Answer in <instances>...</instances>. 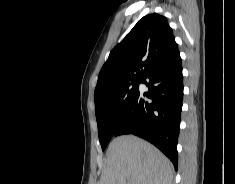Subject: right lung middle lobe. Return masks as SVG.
<instances>
[{
  "label": "right lung middle lobe",
  "instance_id": "1",
  "mask_svg": "<svg viewBox=\"0 0 235 184\" xmlns=\"http://www.w3.org/2000/svg\"><path fill=\"white\" fill-rule=\"evenodd\" d=\"M143 80L111 88L108 92L110 103L96 108L98 136L104 150L126 114L130 104L139 93V84Z\"/></svg>",
  "mask_w": 235,
  "mask_h": 184
}]
</instances>
